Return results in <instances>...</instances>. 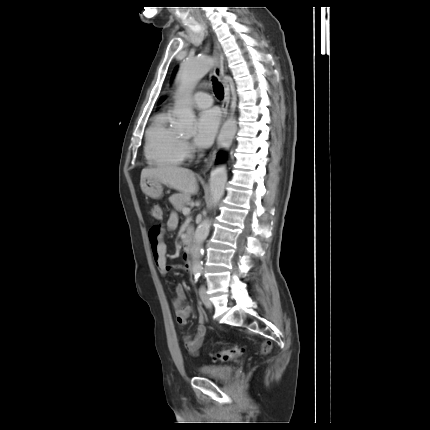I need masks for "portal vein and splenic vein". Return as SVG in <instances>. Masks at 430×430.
<instances>
[{"instance_id": "18ae733b", "label": "portal vein and splenic vein", "mask_w": 430, "mask_h": 430, "mask_svg": "<svg viewBox=\"0 0 430 430\" xmlns=\"http://www.w3.org/2000/svg\"><path fill=\"white\" fill-rule=\"evenodd\" d=\"M189 213H190V208H188V207L183 208V214L185 216H187Z\"/></svg>"}]
</instances>
